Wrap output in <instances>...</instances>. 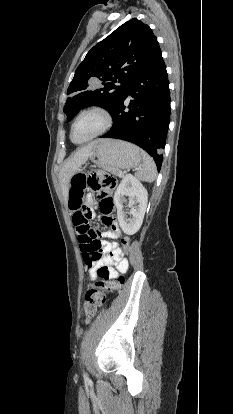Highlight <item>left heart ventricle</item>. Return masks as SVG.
I'll list each match as a JSON object with an SVG mask.
<instances>
[{
	"mask_svg": "<svg viewBox=\"0 0 233 414\" xmlns=\"http://www.w3.org/2000/svg\"><path fill=\"white\" fill-rule=\"evenodd\" d=\"M102 121L100 117L96 114H87L80 118L77 122L74 131L73 138L76 141H81L94 132H96L101 127Z\"/></svg>",
	"mask_w": 233,
	"mask_h": 414,
	"instance_id": "1",
	"label": "left heart ventricle"
}]
</instances>
